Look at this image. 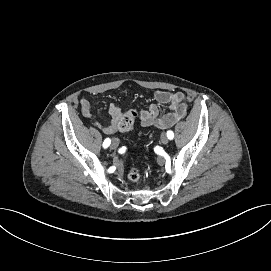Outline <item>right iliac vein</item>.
<instances>
[{
	"label": "right iliac vein",
	"mask_w": 271,
	"mask_h": 271,
	"mask_svg": "<svg viewBox=\"0 0 271 271\" xmlns=\"http://www.w3.org/2000/svg\"><path fill=\"white\" fill-rule=\"evenodd\" d=\"M119 146V142L117 139L113 138L111 141V149L116 150Z\"/></svg>",
	"instance_id": "1"
}]
</instances>
